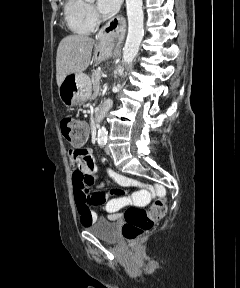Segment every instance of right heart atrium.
<instances>
[{
    "mask_svg": "<svg viewBox=\"0 0 240 288\" xmlns=\"http://www.w3.org/2000/svg\"><path fill=\"white\" fill-rule=\"evenodd\" d=\"M90 13L94 19L96 17V11H95L94 7H92V6H90Z\"/></svg>",
    "mask_w": 240,
    "mask_h": 288,
    "instance_id": "obj_1",
    "label": "right heart atrium"
}]
</instances>
